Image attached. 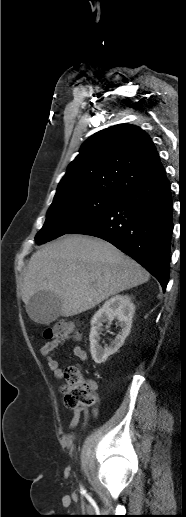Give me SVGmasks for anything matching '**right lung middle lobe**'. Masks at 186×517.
Returning a JSON list of instances; mask_svg holds the SVG:
<instances>
[{
	"label": "right lung middle lobe",
	"mask_w": 186,
	"mask_h": 517,
	"mask_svg": "<svg viewBox=\"0 0 186 517\" xmlns=\"http://www.w3.org/2000/svg\"><path fill=\"white\" fill-rule=\"evenodd\" d=\"M119 198L99 194H75L54 198L45 224L35 237L36 243L42 244L69 233L112 206Z\"/></svg>",
	"instance_id": "dd1d6c3e"
}]
</instances>
